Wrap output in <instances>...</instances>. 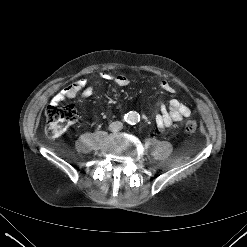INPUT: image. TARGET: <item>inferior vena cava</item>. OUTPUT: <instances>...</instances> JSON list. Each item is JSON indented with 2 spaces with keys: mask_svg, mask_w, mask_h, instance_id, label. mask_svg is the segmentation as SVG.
<instances>
[{
  "mask_svg": "<svg viewBox=\"0 0 247 247\" xmlns=\"http://www.w3.org/2000/svg\"><path fill=\"white\" fill-rule=\"evenodd\" d=\"M109 128L112 132H117L119 130L122 129V123L120 121H115V122H112L110 125H109Z\"/></svg>",
  "mask_w": 247,
  "mask_h": 247,
  "instance_id": "inferior-vena-cava-1",
  "label": "inferior vena cava"
}]
</instances>
